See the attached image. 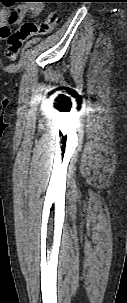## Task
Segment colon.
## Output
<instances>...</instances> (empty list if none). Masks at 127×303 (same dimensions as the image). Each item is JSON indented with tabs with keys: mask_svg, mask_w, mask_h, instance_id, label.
<instances>
[{
	"mask_svg": "<svg viewBox=\"0 0 127 303\" xmlns=\"http://www.w3.org/2000/svg\"><path fill=\"white\" fill-rule=\"evenodd\" d=\"M58 23V11L51 10L43 22H24L14 32L10 31L6 36L8 58L14 60L18 56L26 40L34 36L49 34Z\"/></svg>",
	"mask_w": 127,
	"mask_h": 303,
	"instance_id": "colon-1",
	"label": "colon"
}]
</instances>
